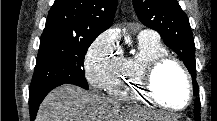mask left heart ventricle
<instances>
[{
	"label": "left heart ventricle",
	"mask_w": 217,
	"mask_h": 121,
	"mask_svg": "<svg viewBox=\"0 0 217 121\" xmlns=\"http://www.w3.org/2000/svg\"><path fill=\"white\" fill-rule=\"evenodd\" d=\"M155 91L168 105L181 107L188 96L186 80L182 72L173 64L161 68L154 78Z\"/></svg>",
	"instance_id": "obj_1"
}]
</instances>
